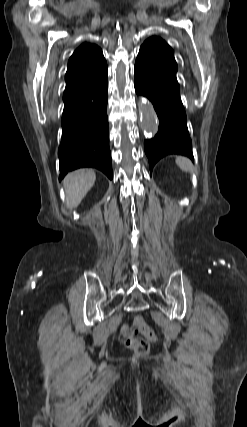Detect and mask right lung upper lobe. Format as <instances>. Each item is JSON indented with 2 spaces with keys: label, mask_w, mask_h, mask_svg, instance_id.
Masks as SVG:
<instances>
[{
  "label": "right lung upper lobe",
  "mask_w": 247,
  "mask_h": 427,
  "mask_svg": "<svg viewBox=\"0 0 247 427\" xmlns=\"http://www.w3.org/2000/svg\"><path fill=\"white\" fill-rule=\"evenodd\" d=\"M106 68L107 64L102 50L94 44H82L69 59L65 75L66 88L85 82Z\"/></svg>",
  "instance_id": "cb5924a9"
}]
</instances>
